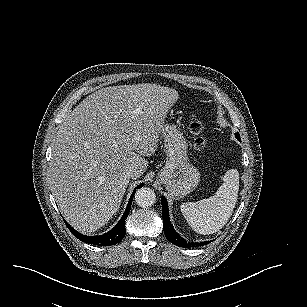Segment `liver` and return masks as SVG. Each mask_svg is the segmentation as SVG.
<instances>
[{"instance_id":"1","label":"liver","mask_w":307,"mask_h":307,"mask_svg":"<svg viewBox=\"0 0 307 307\" xmlns=\"http://www.w3.org/2000/svg\"><path fill=\"white\" fill-rule=\"evenodd\" d=\"M177 98L175 89L157 84L109 86L66 115L51 152L50 189L74 230L91 233L114 215L129 179L146 172L144 156L155 152Z\"/></svg>"}]
</instances>
